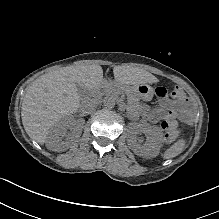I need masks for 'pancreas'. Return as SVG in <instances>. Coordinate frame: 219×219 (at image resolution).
I'll list each match as a JSON object with an SVG mask.
<instances>
[{"instance_id":"pancreas-1","label":"pancreas","mask_w":219,"mask_h":219,"mask_svg":"<svg viewBox=\"0 0 219 219\" xmlns=\"http://www.w3.org/2000/svg\"><path fill=\"white\" fill-rule=\"evenodd\" d=\"M105 95H107V98L116 99L120 94L128 100L127 102V115L130 117L131 120H139L140 119V112L137 111L138 109V97L136 92L129 87H122L121 90L114 85L109 86L108 83H106L104 91Z\"/></svg>"}]
</instances>
